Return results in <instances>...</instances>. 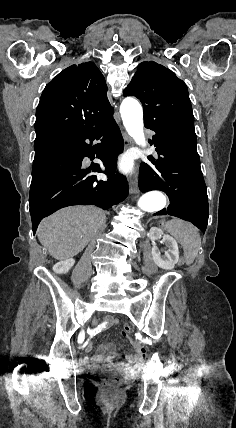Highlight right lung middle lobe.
Returning a JSON list of instances; mask_svg holds the SVG:
<instances>
[{
	"label": "right lung middle lobe",
	"mask_w": 236,
	"mask_h": 428,
	"mask_svg": "<svg viewBox=\"0 0 236 428\" xmlns=\"http://www.w3.org/2000/svg\"><path fill=\"white\" fill-rule=\"evenodd\" d=\"M47 146H48L47 142L38 143V144L35 143V153L45 149Z\"/></svg>",
	"instance_id": "right-lung-middle-lobe-1"
}]
</instances>
